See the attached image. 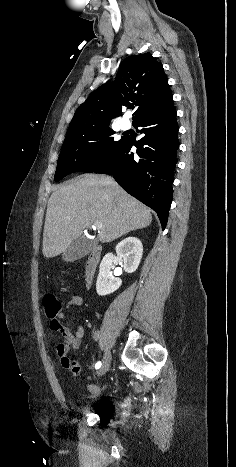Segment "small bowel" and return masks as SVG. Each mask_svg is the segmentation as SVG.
I'll use <instances>...</instances> for the list:
<instances>
[{"instance_id": "1", "label": "small bowel", "mask_w": 236, "mask_h": 467, "mask_svg": "<svg viewBox=\"0 0 236 467\" xmlns=\"http://www.w3.org/2000/svg\"><path fill=\"white\" fill-rule=\"evenodd\" d=\"M83 304L81 296L72 294L67 302L66 307L68 309L72 307H78ZM65 318V314L60 312L56 317L51 318L49 321V327L53 331L61 333L64 341L57 345L56 352L60 363L63 368L70 371L73 375L79 376L81 374L80 365L70 358V352L76 350L81 345V340L84 336L85 329L83 325H78L77 328L72 331L70 328L61 324V320ZM88 389L90 392L99 395L101 390L95 385H89Z\"/></svg>"}]
</instances>
